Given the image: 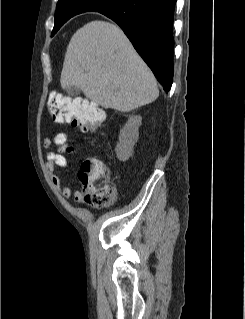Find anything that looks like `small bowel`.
Masks as SVG:
<instances>
[{"instance_id":"obj_1","label":"small bowel","mask_w":245,"mask_h":319,"mask_svg":"<svg viewBox=\"0 0 245 319\" xmlns=\"http://www.w3.org/2000/svg\"><path fill=\"white\" fill-rule=\"evenodd\" d=\"M43 146L46 149V169L50 175L53 185L59 189L64 198H70L73 194L76 203L84 202V196L81 191L72 192L68 185H61L60 177L55 173L57 167L67 166L65 154L70 150L69 137L65 132H59L53 139L45 138ZM56 148V150H54Z\"/></svg>"}]
</instances>
